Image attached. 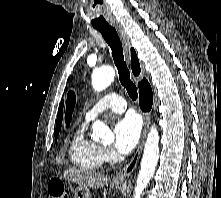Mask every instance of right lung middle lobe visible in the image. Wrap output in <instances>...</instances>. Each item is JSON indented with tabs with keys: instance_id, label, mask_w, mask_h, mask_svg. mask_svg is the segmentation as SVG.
Instances as JSON below:
<instances>
[{
	"instance_id": "right-lung-middle-lobe-1",
	"label": "right lung middle lobe",
	"mask_w": 221,
	"mask_h": 198,
	"mask_svg": "<svg viewBox=\"0 0 221 198\" xmlns=\"http://www.w3.org/2000/svg\"><path fill=\"white\" fill-rule=\"evenodd\" d=\"M58 134H59V132H55V138H57V137H58Z\"/></svg>"
}]
</instances>
